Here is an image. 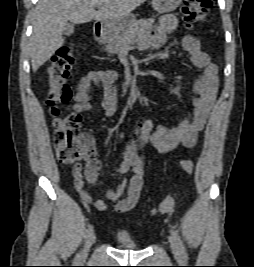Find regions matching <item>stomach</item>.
Masks as SVG:
<instances>
[{"instance_id":"1","label":"stomach","mask_w":254,"mask_h":267,"mask_svg":"<svg viewBox=\"0 0 254 267\" xmlns=\"http://www.w3.org/2000/svg\"><path fill=\"white\" fill-rule=\"evenodd\" d=\"M183 0H152V6L158 13H169L180 6ZM136 21L135 16L129 14L125 17L107 20L101 23V36L104 39L120 34Z\"/></svg>"}]
</instances>
